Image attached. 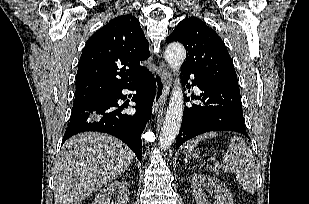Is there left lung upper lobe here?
<instances>
[{
	"mask_svg": "<svg viewBox=\"0 0 309 204\" xmlns=\"http://www.w3.org/2000/svg\"><path fill=\"white\" fill-rule=\"evenodd\" d=\"M166 41H178L186 48V60L181 70L201 73L211 79L238 85L232 59L224 42L200 19H183Z\"/></svg>",
	"mask_w": 309,
	"mask_h": 204,
	"instance_id": "left-lung-upper-lobe-1",
	"label": "left lung upper lobe"
}]
</instances>
